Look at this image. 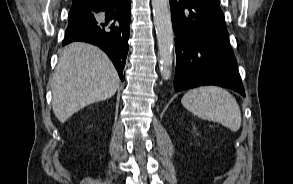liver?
Listing matches in <instances>:
<instances>
[{
    "label": "liver",
    "instance_id": "1",
    "mask_svg": "<svg viewBox=\"0 0 293 184\" xmlns=\"http://www.w3.org/2000/svg\"><path fill=\"white\" fill-rule=\"evenodd\" d=\"M119 83L114 65L102 50L71 43L60 53L52 78L53 112L64 123L84 107L112 97Z\"/></svg>",
    "mask_w": 293,
    "mask_h": 184
}]
</instances>
